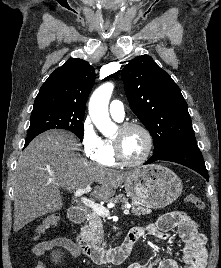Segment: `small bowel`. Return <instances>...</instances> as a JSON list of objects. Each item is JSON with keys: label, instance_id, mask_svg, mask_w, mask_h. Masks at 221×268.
<instances>
[{"label": "small bowel", "instance_id": "c3829d8e", "mask_svg": "<svg viewBox=\"0 0 221 268\" xmlns=\"http://www.w3.org/2000/svg\"><path fill=\"white\" fill-rule=\"evenodd\" d=\"M134 229L139 238L144 234L152 235L162 241L170 239V232L176 230L184 244L182 263L162 254L148 264L132 263L128 268H206L208 251L207 238L200 232L196 219L182 211H172L161 215L155 223L144 226H136ZM63 247L74 256L80 255L76 242L67 237H59L49 241L37 243L33 247V253L41 257L45 252ZM36 268H47L45 263L39 261Z\"/></svg>", "mask_w": 221, "mask_h": 268}]
</instances>
